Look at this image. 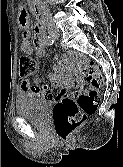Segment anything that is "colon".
Masks as SVG:
<instances>
[{"label": "colon", "instance_id": "colon-1", "mask_svg": "<svg viewBox=\"0 0 123 167\" xmlns=\"http://www.w3.org/2000/svg\"><path fill=\"white\" fill-rule=\"evenodd\" d=\"M36 63L28 55L19 59V74L28 77L35 72ZM84 78L94 89L101 88L104 78L95 63H87L82 67ZM100 97L95 90L81 93L74 100L70 97L59 99L54 107L53 119L56 134L59 139L66 140L78 129L89 115H92L99 104Z\"/></svg>", "mask_w": 123, "mask_h": 167}]
</instances>
